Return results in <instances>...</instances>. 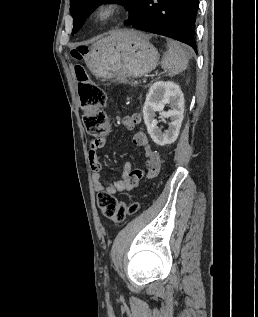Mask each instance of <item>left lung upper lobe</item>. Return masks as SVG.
Instances as JSON below:
<instances>
[{"label": "left lung upper lobe", "mask_w": 258, "mask_h": 317, "mask_svg": "<svg viewBox=\"0 0 258 317\" xmlns=\"http://www.w3.org/2000/svg\"><path fill=\"white\" fill-rule=\"evenodd\" d=\"M104 2H119L122 4H127L130 12V18L128 21L129 23L132 20V18L136 15L142 0H71L70 12L74 19V27L72 34L76 33L83 25L85 18L90 13H92L97 6Z\"/></svg>", "instance_id": "5c2ea615"}]
</instances>
